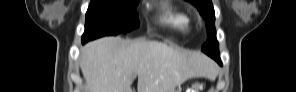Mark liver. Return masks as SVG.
<instances>
[{"mask_svg": "<svg viewBox=\"0 0 296 92\" xmlns=\"http://www.w3.org/2000/svg\"><path fill=\"white\" fill-rule=\"evenodd\" d=\"M80 66L88 92H171L193 77H211L214 64L204 54L159 41L104 37L81 49Z\"/></svg>", "mask_w": 296, "mask_h": 92, "instance_id": "liver-1", "label": "liver"}]
</instances>
